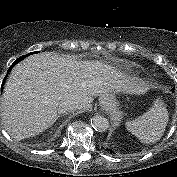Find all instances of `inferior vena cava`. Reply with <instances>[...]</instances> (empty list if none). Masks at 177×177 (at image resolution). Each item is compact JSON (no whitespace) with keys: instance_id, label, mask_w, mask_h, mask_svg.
I'll list each match as a JSON object with an SVG mask.
<instances>
[{"instance_id":"inferior-vena-cava-1","label":"inferior vena cava","mask_w":177,"mask_h":177,"mask_svg":"<svg viewBox=\"0 0 177 177\" xmlns=\"http://www.w3.org/2000/svg\"><path fill=\"white\" fill-rule=\"evenodd\" d=\"M79 109V103L72 100L63 101L58 108L59 113H68Z\"/></svg>"}]
</instances>
